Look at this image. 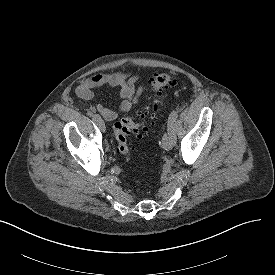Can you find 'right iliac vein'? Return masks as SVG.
<instances>
[{"label":"right iliac vein","mask_w":275,"mask_h":275,"mask_svg":"<svg viewBox=\"0 0 275 275\" xmlns=\"http://www.w3.org/2000/svg\"><path fill=\"white\" fill-rule=\"evenodd\" d=\"M97 125H98L99 129L102 132H105L106 127H105V123H104V121L102 119H100L99 121H97Z\"/></svg>","instance_id":"1"}]
</instances>
